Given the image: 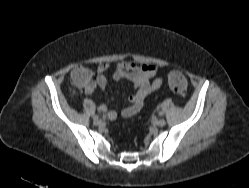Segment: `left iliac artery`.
<instances>
[{
  "instance_id": "obj_1",
  "label": "left iliac artery",
  "mask_w": 249,
  "mask_h": 188,
  "mask_svg": "<svg viewBox=\"0 0 249 188\" xmlns=\"http://www.w3.org/2000/svg\"><path fill=\"white\" fill-rule=\"evenodd\" d=\"M159 116H163V112L160 111V112H159Z\"/></svg>"
}]
</instances>
